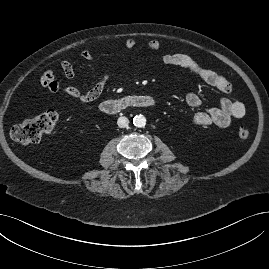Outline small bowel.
I'll use <instances>...</instances> for the list:
<instances>
[{
	"label": "small bowel",
	"instance_id": "small-bowel-1",
	"mask_svg": "<svg viewBox=\"0 0 269 269\" xmlns=\"http://www.w3.org/2000/svg\"><path fill=\"white\" fill-rule=\"evenodd\" d=\"M134 39H127L124 47L126 51L135 48ZM152 52H158L161 48L159 41L151 40L147 45ZM82 57L90 62L96 60L93 53L84 49L81 53ZM161 62L165 65L179 67L185 69L200 78L205 83L217 88L219 91L228 94L232 91L231 83L221 74L200 66L193 58L183 53H166L161 56ZM61 68L67 78L76 77V70L69 60L61 62ZM109 73L103 74L100 80L89 90L83 92L74 86H67L61 89L51 69L46 70L40 77V84L43 88L52 93L62 91L66 96L76 99L83 103L92 102L97 99L104 91L109 82ZM186 104L191 108H197L201 105V97L199 94L192 92L185 97ZM246 114V107L240 101H233L227 97H223L219 106L205 111L196 112L192 118V122L197 126L214 124L218 127H228L233 119L242 118Z\"/></svg>",
	"mask_w": 269,
	"mask_h": 269
}]
</instances>
